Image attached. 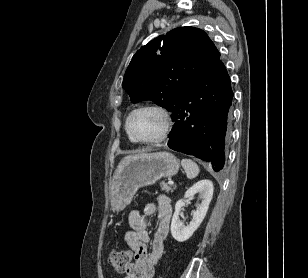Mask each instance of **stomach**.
<instances>
[{"mask_svg":"<svg viewBox=\"0 0 308 278\" xmlns=\"http://www.w3.org/2000/svg\"><path fill=\"white\" fill-rule=\"evenodd\" d=\"M179 167L178 159L169 152H141L124 157L111 180V209H124L139 188L174 176Z\"/></svg>","mask_w":308,"mask_h":278,"instance_id":"stomach-1","label":"stomach"}]
</instances>
